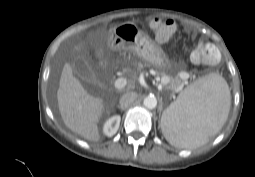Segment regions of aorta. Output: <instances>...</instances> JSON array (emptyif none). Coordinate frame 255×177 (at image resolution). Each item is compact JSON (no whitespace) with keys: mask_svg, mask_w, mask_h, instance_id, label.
<instances>
[{"mask_svg":"<svg viewBox=\"0 0 255 177\" xmlns=\"http://www.w3.org/2000/svg\"><path fill=\"white\" fill-rule=\"evenodd\" d=\"M143 104L148 109H154L157 106V99L155 96H147L144 99Z\"/></svg>","mask_w":255,"mask_h":177,"instance_id":"762f6f07","label":"aorta"}]
</instances>
